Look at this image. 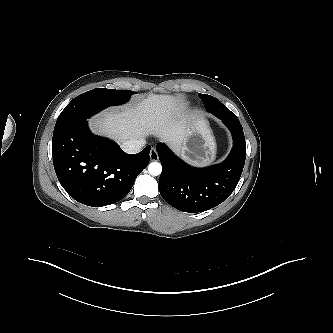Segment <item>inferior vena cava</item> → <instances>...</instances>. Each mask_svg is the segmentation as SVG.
I'll use <instances>...</instances> for the list:
<instances>
[{
  "mask_svg": "<svg viewBox=\"0 0 333 333\" xmlns=\"http://www.w3.org/2000/svg\"><path fill=\"white\" fill-rule=\"evenodd\" d=\"M145 141L143 139H132L123 142L121 148L128 154H135L140 152L141 148L144 146Z\"/></svg>",
  "mask_w": 333,
  "mask_h": 333,
  "instance_id": "602c4592",
  "label": "inferior vena cava"
}]
</instances>
